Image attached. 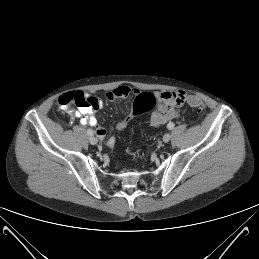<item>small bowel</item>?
<instances>
[{
  "label": "small bowel",
  "instance_id": "small-bowel-1",
  "mask_svg": "<svg viewBox=\"0 0 259 259\" xmlns=\"http://www.w3.org/2000/svg\"><path fill=\"white\" fill-rule=\"evenodd\" d=\"M137 89L125 85L118 86L106 94L108 101L121 100L131 94H137ZM159 100L158 108L151 114L150 125L159 127L178 116V107L182 105L185 92L183 91H164L157 94ZM59 107L67 110L70 105L75 104L78 109L74 116L80 119L82 125L95 128V132L100 139L105 137V130L97 126V120L93 115L95 110L101 109L104 102L94 96H89L81 91L64 93L58 98Z\"/></svg>",
  "mask_w": 259,
  "mask_h": 259
}]
</instances>
